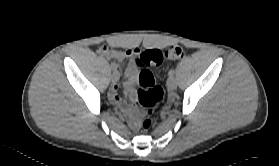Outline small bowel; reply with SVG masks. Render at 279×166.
<instances>
[{
  "label": "small bowel",
  "mask_w": 279,
  "mask_h": 166,
  "mask_svg": "<svg viewBox=\"0 0 279 166\" xmlns=\"http://www.w3.org/2000/svg\"><path fill=\"white\" fill-rule=\"evenodd\" d=\"M99 53L108 57L113 58L116 60H124L127 58H131L133 55L137 53L136 49H127L124 51L121 50H115L108 46H102L99 49ZM125 74L127 76V81L125 83V89L127 92H130L127 94V101L130 103H133L136 101L137 96L135 93L131 92L132 88L134 87L136 83V70L133 65H129L126 70ZM109 98L110 100L117 105L119 108H121L125 113H127L129 120L133 127L137 125V119H138V112L136 110L129 111L125 103L122 101L118 94V87L116 85L112 86V88L109 91Z\"/></svg>",
  "instance_id": "c3829d8e"
}]
</instances>
